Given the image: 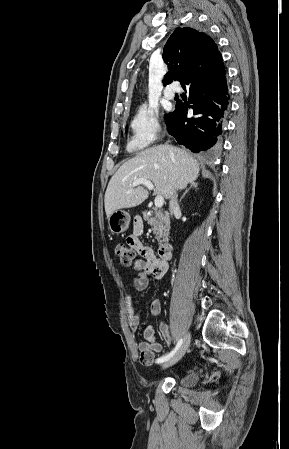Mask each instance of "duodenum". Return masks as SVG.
Instances as JSON below:
<instances>
[{
  "mask_svg": "<svg viewBox=\"0 0 289 449\" xmlns=\"http://www.w3.org/2000/svg\"><path fill=\"white\" fill-rule=\"evenodd\" d=\"M159 256L163 259V260H169L172 256V252H173V247L171 244L169 243H163L160 247H159Z\"/></svg>",
  "mask_w": 289,
  "mask_h": 449,
  "instance_id": "obj_1",
  "label": "duodenum"
}]
</instances>
